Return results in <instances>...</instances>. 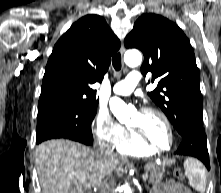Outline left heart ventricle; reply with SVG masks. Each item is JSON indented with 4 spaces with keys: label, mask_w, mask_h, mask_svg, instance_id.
Instances as JSON below:
<instances>
[{
    "label": "left heart ventricle",
    "mask_w": 221,
    "mask_h": 193,
    "mask_svg": "<svg viewBox=\"0 0 221 193\" xmlns=\"http://www.w3.org/2000/svg\"><path fill=\"white\" fill-rule=\"evenodd\" d=\"M129 126L140 129L144 135L155 145L168 148L170 144L169 131L164 121L152 113H135L129 122Z\"/></svg>",
    "instance_id": "1"
}]
</instances>
